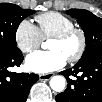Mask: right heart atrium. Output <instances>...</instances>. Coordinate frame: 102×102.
Instances as JSON below:
<instances>
[{
    "label": "right heart atrium",
    "mask_w": 102,
    "mask_h": 102,
    "mask_svg": "<svg viewBox=\"0 0 102 102\" xmlns=\"http://www.w3.org/2000/svg\"><path fill=\"white\" fill-rule=\"evenodd\" d=\"M14 39L18 48L24 53L38 48L43 40L38 27L29 19H23L18 23Z\"/></svg>",
    "instance_id": "1"
}]
</instances>
